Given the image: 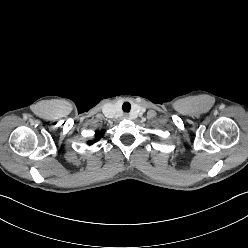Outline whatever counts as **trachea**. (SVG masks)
<instances>
[{"label": "trachea", "mask_w": 248, "mask_h": 248, "mask_svg": "<svg viewBox=\"0 0 248 248\" xmlns=\"http://www.w3.org/2000/svg\"><path fill=\"white\" fill-rule=\"evenodd\" d=\"M122 109L124 112H129L130 109H131V105L129 102H124L123 105H122Z\"/></svg>", "instance_id": "3493384b"}]
</instances>
